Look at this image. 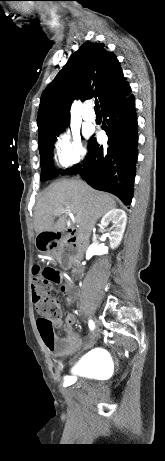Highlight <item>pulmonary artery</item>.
Returning a JSON list of instances; mask_svg holds the SVG:
<instances>
[{"label":"pulmonary artery","instance_id":"pulmonary-artery-1","mask_svg":"<svg viewBox=\"0 0 165 461\" xmlns=\"http://www.w3.org/2000/svg\"><path fill=\"white\" fill-rule=\"evenodd\" d=\"M82 117L87 122H93L96 116L90 111L89 107H86L82 113Z\"/></svg>","mask_w":165,"mask_h":461}]
</instances>
